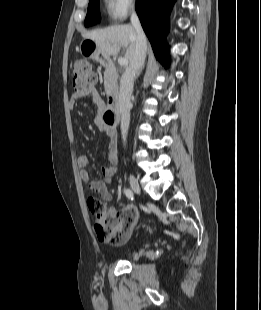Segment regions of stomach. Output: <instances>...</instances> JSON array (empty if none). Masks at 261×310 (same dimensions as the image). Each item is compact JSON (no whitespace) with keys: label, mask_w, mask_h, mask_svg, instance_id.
<instances>
[{"label":"stomach","mask_w":261,"mask_h":310,"mask_svg":"<svg viewBox=\"0 0 261 310\" xmlns=\"http://www.w3.org/2000/svg\"><path fill=\"white\" fill-rule=\"evenodd\" d=\"M80 53L86 58L102 61L101 53L99 52L96 43L90 39L82 41L80 45Z\"/></svg>","instance_id":"0dacf381"}]
</instances>
